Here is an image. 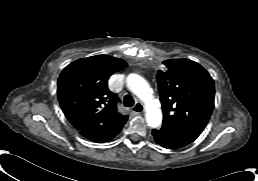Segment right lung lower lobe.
<instances>
[{
  "label": "right lung lower lobe",
  "instance_id": "1",
  "mask_svg": "<svg viewBox=\"0 0 258 181\" xmlns=\"http://www.w3.org/2000/svg\"><path fill=\"white\" fill-rule=\"evenodd\" d=\"M126 121L115 122L108 125H103L98 128L85 131L81 133L87 139L97 142L103 143L114 138L122 129Z\"/></svg>",
  "mask_w": 258,
  "mask_h": 181
}]
</instances>
